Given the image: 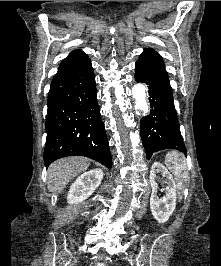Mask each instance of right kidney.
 Here are the masks:
<instances>
[{"instance_id":"ca27d5eb","label":"right kidney","mask_w":221,"mask_h":266,"mask_svg":"<svg viewBox=\"0 0 221 266\" xmlns=\"http://www.w3.org/2000/svg\"><path fill=\"white\" fill-rule=\"evenodd\" d=\"M103 171L94 169L80 175L72 183L68 194L67 201L69 204H78L92 195L95 189L101 184Z\"/></svg>"}]
</instances>
